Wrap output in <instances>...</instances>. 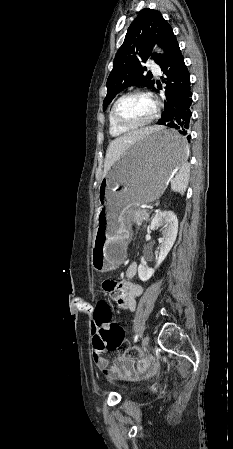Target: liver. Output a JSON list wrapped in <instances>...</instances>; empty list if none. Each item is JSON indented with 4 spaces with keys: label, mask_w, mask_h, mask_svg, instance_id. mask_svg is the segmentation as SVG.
<instances>
[{
    "label": "liver",
    "mask_w": 233,
    "mask_h": 449,
    "mask_svg": "<svg viewBox=\"0 0 233 449\" xmlns=\"http://www.w3.org/2000/svg\"><path fill=\"white\" fill-rule=\"evenodd\" d=\"M160 126H150L129 133H122L121 137L113 140L107 149L104 163V174L106 175L115 162L119 161L122 155L135 142H141L142 138L155 131L160 130Z\"/></svg>",
    "instance_id": "6515ba94"
}]
</instances>
